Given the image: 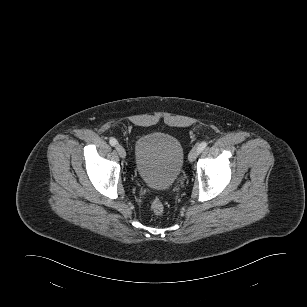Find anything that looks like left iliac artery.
<instances>
[{
	"label": "left iliac artery",
	"instance_id": "left-iliac-artery-1",
	"mask_svg": "<svg viewBox=\"0 0 307 307\" xmlns=\"http://www.w3.org/2000/svg\"><path fill=\"white\" fill-rule=\"evenodd\" d=\"M208 143L206 141H203L201 142L199 145H198V150L199 152L203 151L206 147H207Z\"/></svg>",
	"mask_w": 307,
	"mask_h": 307
}]
</instances>
